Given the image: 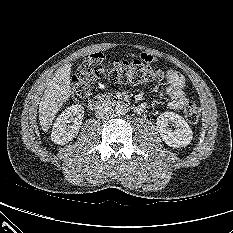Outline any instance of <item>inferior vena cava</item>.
<instances>
[{
    "label": "inferior vena cava",
    "mask_w": 233,
    "mask_h": 233,
    "mask_svg": "<svg viewBox=\"0 0 233 233\" xmlns=\"http://www.w3.org/2000/svg\"><path fill=\"white\" fill-rule=\"evenodd\" d=\"M113 113V108L109 105L102 104L96 109V117L100 119L109 118Z\"/></svg>",
    "instance_id": "1"
}]
</instances>
